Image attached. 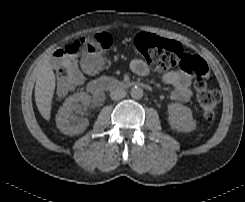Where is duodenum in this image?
<instances>
[{
	"instance_id": "1",
	"label": "duodenum",
	"mask_w": 245,
	"mask_h": 202,
	"mask_svg": "<svg viewBox=\"0 0 245 202\" xmlns=\"http://www.w3.org/2000/svg\"><path fill=\"white\" fill-rule=\"evenodd\" d=\"M133 88H143L149 90V86L143 82L137 81H118L109 77H102L91 81L88 90L93 96H98L105 91L124 90Z\"/></svg>"
}]
</instances>
